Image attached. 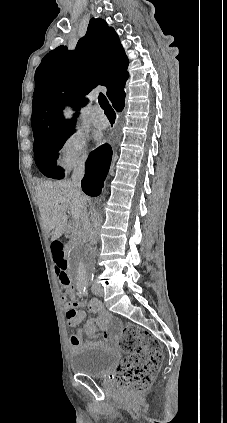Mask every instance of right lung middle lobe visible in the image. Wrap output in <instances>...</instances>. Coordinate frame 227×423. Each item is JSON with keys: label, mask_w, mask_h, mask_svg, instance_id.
Segmentation results:
<instances>
[{"label": "right lung middle lobe", "mask_w": 227, "mask_h": 423, "mask_svg": "<svg viewBox=\"0 0 227 423\" xmlns=\"http://www.w3.org/2000/svg\"><path fill=\"white\" fill-rule=\"evenodd\" d=\"M70 134L42 137L34 140L35 162L39 170L47 177L62 179L63 170L56 166L58 151L63 147Z\"/></svg>", "instance_id": "1"}]
</instances>
